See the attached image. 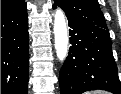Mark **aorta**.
I'll return each instance as SVG.
<instances>
[{"mask_svg":"<svg viewBox=\"0 0 121 94\" xmlns=\"http://www.w3.org/2000/svg\"><path fill=\"white\" fill-rule=\"evenodd\" d=\"M54 36L57 57L60 61H64L68 54V31L65 15L61 9L55 11Z\"/></svg>","mask_w":121,"mask_h":94,"instance_id":"1","label":"aorta"}]
</instances>
